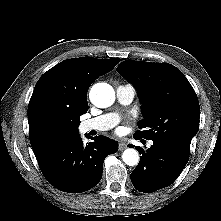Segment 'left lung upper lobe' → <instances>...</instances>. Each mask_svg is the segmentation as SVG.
Wrapping results in <instances>:
<instances>
[{"instance_id": "5c2ea615", "label": "left lung upper lobe", "mask_w": 221, "mask_h": 221, "mask_svg": "<svg viewBox=\"0 0 221 221\" xmlns=\"http://www.w3.org/2000/svg\"><path fill=\"white\" fill-rule=\"evenodd\" d=\"M138 91L144 119L136 138L167 142L185 153L199 129L197 95L184 74L168 63L123 61L116 69Z\"/></svg>"}]
</instances>
